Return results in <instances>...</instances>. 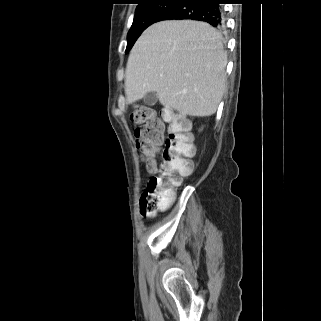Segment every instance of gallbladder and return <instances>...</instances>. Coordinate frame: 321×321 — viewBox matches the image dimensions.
Returning a JSON list of instances; mask_svg holds the SVG:
<instances>
[{
	"mask_svg": "<svg viewBox=\"0 0 321 321\" xmlns=\"http://www.w3.org/2000/svg\"><path fill=\"white\" fill-rule=\"evenodd\" d=\"M143 101L146 105L148 106H153L157 103L158 101V97H157V94L156 92H149L147 93L144 98H143Z\"/></svg>",
	"mask_w": 321,
	"mask_h": 321,
	"instance_id": "gallbladder-1",
	"label": "gallbladder"
}]
</instances>
